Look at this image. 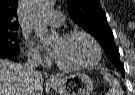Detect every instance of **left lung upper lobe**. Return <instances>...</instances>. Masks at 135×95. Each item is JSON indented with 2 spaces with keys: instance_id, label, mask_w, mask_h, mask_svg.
<instances>
[{
  "instance_id": "5c2ea615",
  "label": "left lung upper lobe",
  "mask_w": 135,
  "mask_h": 95,
  "mask_svg": "<svg viewBox=\"0 0 135 95\" xmlns=\"http://www.w3.org/2000/svg\"><path fill=\"white\" fill-rule=\"evenodd\" d=\"M66 2L73 21L100 42L110 61L116 64L118 69H124L119 60V50L115 45L113 33L99 0H66Z\"/></svg>"
}]
</instances>
